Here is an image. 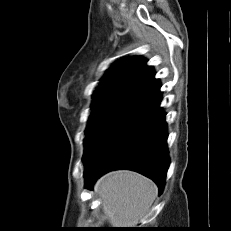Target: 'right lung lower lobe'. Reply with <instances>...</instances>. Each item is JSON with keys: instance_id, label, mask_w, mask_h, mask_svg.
I'll list each match as a JSON object with an SVG mask.
<instances>
[{"instance_id": "98d812e1", "label": "right lung lower lobe", "mask_w": 231, "mask_h": 231, "mask_svg": "<svg viewBox=\"0 0 231 231\" xmlns=\"http://www.w3.org/2000/svg\"><path fill=\"white\" fill-rule=\"evenodd\" d=\"M160 102L133 118L108 139L85 163V187L116 169H129L151 178L162 193L169 156L166 113Z\"/></svg>"}]
</instances>
